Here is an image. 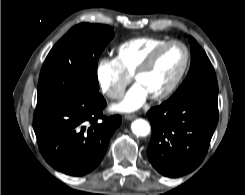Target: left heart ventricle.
I'll use <instances>...</instances> for the list:
<instances>
[{
  "label": "left heart ventricle",
  "mask_w": 245,
  "mask_h": 195,
  "mask_svg": "<svg viewBox=\"0 0 245 195\" xmlns=\"http://www.w3.org/2000/svg\"><path fill=\"white\" fill-rule=\"evenodd\" d=\"M183 60V49L177 45L171 46L165 49L153 65L137 78L136 83L140 84L149 96L158 94L175 78Z\"/></svg>",
  "instance_id": "left-heart-ventricle-1"
}]
</instances>
